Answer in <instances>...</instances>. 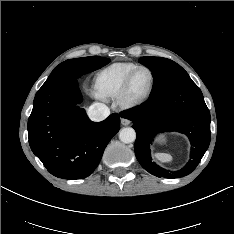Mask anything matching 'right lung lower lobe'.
<instances>
[{
	"label": "right lung lower lobe",
	"mask_w": 234,
	"mask_h": 234,
	"mask_svg": "<svg viewBox=\"0 0 234 234\" xmlns=\"http://www.w3.org/2000/svg\"><path fill=\"white\" fill-rule=\"evenodd\" d=\"M81 101L77 78L68 70L51 73L34 98L28 119L29 144L46 169L59 178L89 176L120 129L118 114L92 122L76 106Z\"/></svg>",
	"instance_id": "98d812e1"
}]
</instances>
